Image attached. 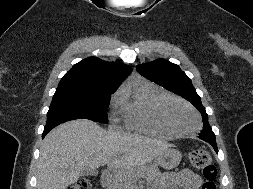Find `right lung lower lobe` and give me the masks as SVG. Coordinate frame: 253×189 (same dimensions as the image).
<instances>
[{
  "label": "right lung lower lobe",
  "instance_id": "1",
  "mask_svg": "<svg viewBox=\"0 0 253 189\" xmlns=\"http://www.w3.org/2000/svg\"><path fill=\"white\" fill-rule=\"evenodd\" d=\"M60 123H62V122L53 123V124H46L43 134H42V138H44L47 133H49L54 127H56Z\"/></svg>",
  "mask_w": 253,
  "mask_h": 189
}]
</instances>
